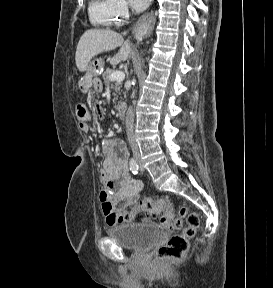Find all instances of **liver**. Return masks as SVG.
<instances>
[{"mask_svg":"<svg viewBox=\"0 0 273 288\" xmlns=\"http://www.w3.org/2000/svg\"><path fill=\"white\" fill-rule=\"evenodd\" d=\"M120 47L118 53L110 60L111 65L126 61L131 53L129 41L122 35L107 29H89L81 36L75 54L76 66L80 72L87 70L93 57Z\"/></svg>","mask_w":273,"mask_h":288,"instance_id":"obj_1","label":"liver"}]
</instances>
